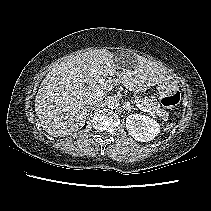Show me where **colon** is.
I'll use <instances>...</instances> for the list:
<instances>
[{
    "label": "colon",
    "mask_w": 211,
    "mask_h": 211,
    "mask_svg": "<svg viewBox=\"0 0 211 211\" xmlns=\"http://www.w3.org/2000/svg\"><path fill=\"white\" fill-rule=\"evenodd\" d=\"M180 101V94L178 92L172 94V95H168L165 96L161 99V104L165 107V108H171L175 105H177Z\"/></svg>",
    "instance_id": "5ec220e1"
}]
</instances>
